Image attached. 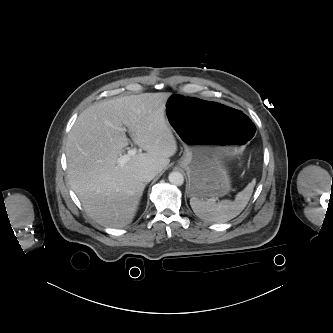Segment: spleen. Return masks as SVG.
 Returning <instances> with one entry per match:
<instances>
[{"label": "spleen", "mask_w": 333, "mask_h": 333, "mask_svg": "<svg viewBox=\"0 0 333 333\" xmlns=\"http://www.w3.org/2000/svg\"><path fill=\"white\" fill-rule=\"evenodd\" d=\"M255 185V181L249 183L244 190L236 195L234 201L222 200L220 202H208L196 197L190 199L193 212L207 222L223 223L238 216L246 207Z\"/></svg>", "instance_id": "spleen-1"}]
</instances>
